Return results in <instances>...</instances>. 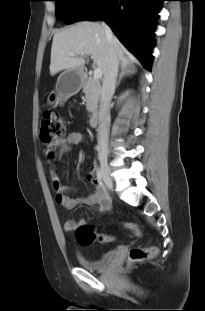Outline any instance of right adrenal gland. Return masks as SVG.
Returning a JSON list of instances; mask_svg holds the SVG:
<instances>
[{
    "instance_id": "obj_1",
    "label": "right adrenal gland",
    "mask_w": 205,
    "mask_h": 311,
    "mask_svg": "<svg viewBox=\"0 0 205 311\" xmlns=\"http://www.w3.org/2000/svg\"><path fill=\"white\" fill-rule=\"evenodd\" d=\"M135 72H136V68L134 66L132 67L130 66L128 68L127 67L122 68L119 74V79H118L116 86L118 87L120 85V81L124 76L134 74Z\"/></svg>"
}]
</instances>
